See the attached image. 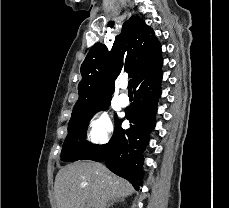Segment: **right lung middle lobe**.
I'll use <instances>...</instances> for the list:
<instances>
[{"instance_id":"obj_1","label":"right lung middle lobe","mask_w":229,"mask_h":208,"mask_svg":"<svg viewBox=\"0 0 229 208\" xmlns=\"http://www.w3.org/2000/svg\"><path fill=\"white\" fill-rule=\"evenodd\" d=\"M110 101L103 102L96 106L89 114L70 119L68 125V135L64 141L61 158L63 161H76L90 151L95 145L86 141V131L93 114L100 110H106ZM116 116V115H115ZM118 119L116 118V123Z\"/></svg>"}]
</instances>
